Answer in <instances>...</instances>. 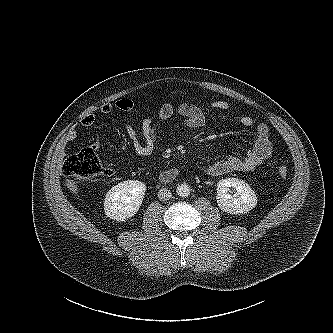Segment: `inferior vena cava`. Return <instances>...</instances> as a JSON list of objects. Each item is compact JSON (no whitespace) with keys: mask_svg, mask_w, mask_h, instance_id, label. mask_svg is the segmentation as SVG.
<instances>
[{"mask_svg":"<svg viewBox=\"0 0 333 333\" xmlns=\"http://www.w3.org/2000/svg\"><path fill=\"white\" fill-rule=\"evenodd\" d=\"M172 197V193L167 188H162L158 192V198L161 201H167Z\"/></svg>","mask_w":333,"mask_h":333,"instance_id":"1","label":"inferior vena cava"}]
</instances>
